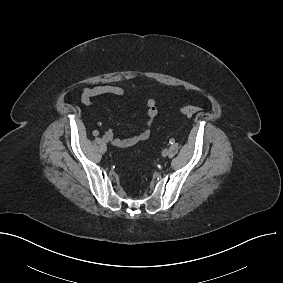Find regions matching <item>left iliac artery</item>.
I'll use <instances>...</instances> for the list:
<instances>
[{
    "label": "left iliac artery",
    "instance_id": "44dca946",
    "mask_svg": "<svg viewBox=\"0 0 283 283\" xmlns=\"http://www.w3.org/2000/svg\"><path fill=\"white\" fill-rule=\"evenodd\" d=\"M174 142H175V140H174L173 138H171V139L169 140V143H170V144H174Z\"/></svg>",
    "mask_w": 283,
    "mask_h": 283
}]
</instances>
